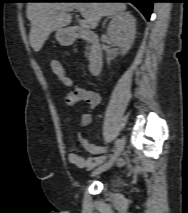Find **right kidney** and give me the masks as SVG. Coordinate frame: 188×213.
Here are the masks:
<instances>
[{"instance_id":"right-kidney-1","label":"right kidney","mask_w":188,"mask_h":213,"mask_svg":"<svg viewBox=\"0 0 188 213\" xmlns=\"http://www.w3.org/2000/svg\"><path fill=\"white\" fill-rule=\"evenodd\" d=\"M107 35L110 40L121 49L125 55L132 47L136 35V19L129 12H122L112 17Z\"/></svg>"}]
</instances>
